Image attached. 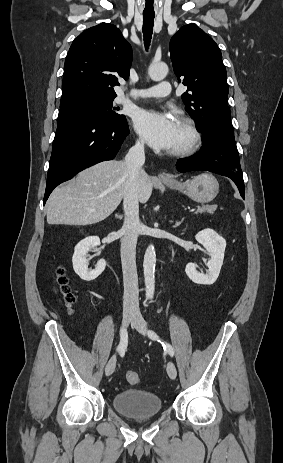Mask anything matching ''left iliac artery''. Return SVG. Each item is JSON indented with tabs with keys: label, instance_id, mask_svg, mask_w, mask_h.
I'll return each mask as SVG.
<instances>
[{
	"label": "left iliac artery",
	"instance_id": "obj_1",
	"mask_svg": "<svg viewBox=\"0 0 283 463\" xmlns=\"http://www.w3.org/2000/svg\"><path fill=\"white\" fill-rule=\"evenodd\" d=\"M148 336L152 340H157L158 342H161V340L159 339V336L152 330L148 331ZM161 343L163 345L164 350H166L169 353L170 356H173L174 355L173 347L168 343H164V342H161Z\"/></svg>",
	"mask_w": 283,
	"mask_h": 463
}]
</instances>
